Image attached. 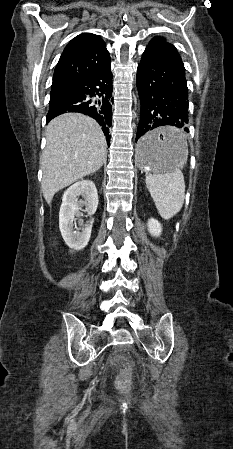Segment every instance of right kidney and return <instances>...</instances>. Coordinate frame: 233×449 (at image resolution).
I'll use <instances>...</instances> for the list:
<instances>
[{
	"mask_svg": "<svg viewBox=\"0 0 233 449\" xmlns=\"http://www.w3.org/2000/svg\"><path fill=\"white\" fill-rule=\"evenodd\" d=\"M82 197L84 200L79 199ZM90 217L86 224L79 220L81 232L73 231L75 217L83 216L81 207ZM98 206V194L95 184L90 180H82L69 187L62 198L59 212V228L67 246L73 250L83 249L89 242L94 219L92 215Z\"/></svg>",
	"mask_w": 233,
	"mask_h": 449,
	"instance_id": "ca27d5eb",
	"label": "right kidney"
}]
</instances>
